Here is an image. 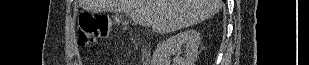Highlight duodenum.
Returning <instances> with one entry per match:
<instances>
[{
	"mask_svg": "<svg viewBox=\"0 0 309 65\" xmlns=\"http://www.w3.org/2000/svg\"><path fill=\"white\" fill-rule=\"evenodd\" d=\"M142 57H143V60L147 59L148 53H147L146 49L143 51Z\"/></svg>",
	"mask_w": 309,
	"mask_h": 65,
	"instance_id": "410a0bca",
	"label": "duodenum"
}]
</instances>
